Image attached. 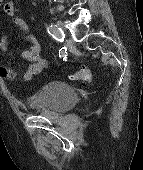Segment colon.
Here are the masks:
<instances>
[{
  "mask_svg": "<svg viewBox=\"0 0 143 170\" xmlns=\"http://www.w3.org/2000/svg\"><path fill=\"white\" fill-rule=\"evenodd\" d=\"M3 2V0H0V3ZM91 78V70L87 66H81L78 68L76 72L70 75V79L74 81L79 82H87Z\"/></svg>",
  "mask_w": 143,
  "mask_h": 170,
  "instance_id": "obj_1",
  "label": "colon"
}]
</instances>
